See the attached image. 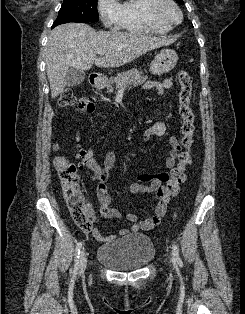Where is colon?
I'll list each match as a JSON object with an SVG mask.
<instances>
[{
	"label": "colon",
	"instance_id": "obj_1",
	"mask_svg": "<svg viewBox=\"0 0 245 314\" xmlns=\"http://www.w3.org/2000/svg\"><path fill=\"white\" fill-rule=\"evenodd\" d=\"M178 83L180 91L179 114L182 118V145L184 151L180 153L179 162L170 173V177L166 184L157 189V197L159 199L160 210L167 207L168 202L174 197L185 180V171L191 164V147L193 144L194 133V117L190 108V98L192 91V78L185 70H181L178 74ZM80 100L76 98L71 89H65L60 94L58 105L61 108L72 107L79 108ZM82 165L73 163L67 157L59 155L54 159V168L57 172L63 197L73 222L83 231L89 232L92 229V222L86 210V198L79 187L78 169Z\"/></svg>",
	"mask_w": 245,
	"mask_h": 314
}]
</instances>
